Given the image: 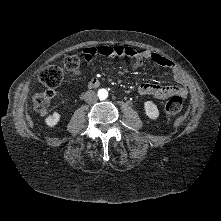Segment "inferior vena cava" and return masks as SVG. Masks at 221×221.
I'll use <instances>...</instances> for the list:
<instances>
[{
  "label": "inferior vena cava",
  "mask_w": 221,
  "mask_h": 221,
  "mask_svg": "<svg viewBox=\"0 0 221 221\" xmlns=\"http://www.w3.org/2000/svg\"><path fill=\"white\" fill-rule=\"evenodd\" d=\"M84 100L87 103H95L98 100L97 94L95 91H87L84 93Z\"/></svg>",
  "instance_id": "1"
}]
</instances>
